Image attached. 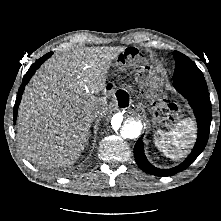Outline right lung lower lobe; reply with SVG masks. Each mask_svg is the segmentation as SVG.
I'll list each match as a JSON object with an SVG mask.
<instances>
[{
  "mask_svg": "<svg viewBox=\"0 0 221 221\" xmlns=\"http://www.w3.org/2000/svg\"><path fill=\"white\" fill-rule=\"evenodd\" d=\"M53 53H47L46 55H44L43 57H41L38 61H36L27 71V73L24 75L23 80H22V84L19 88L18 91V95L16 98V102H15V106H14V121L16 120V116H17V109L19 107L20 101H21V96L22 93L24 91L25 85L29 82L30 78L32 77V75L35 73V71L40 67V65L46 61Z\"/></svg>",
  "mask_w": 221,
  "mask_h": 221,
  "instance_id": "1",
  "label": "right lung lower lobe"
}]
</instances>
